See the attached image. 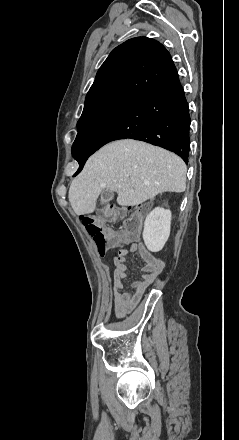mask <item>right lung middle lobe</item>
<instances>
[{"instance_id":"1","label":"right lung middle lobe","mask_w":239,"mask_h":440,"mask_svg":"<svg viewBox=\"0 0 239 440\" xmlns=\"http://www.w3.org/2000/svg\"><path fill=\"white\" fill-rule=\"evenodd\" d=\"M134 97L117 96L83 110L77 123L78 134L72 153L92 150L98 138L117 120Z\"/></svg>"}]
</instances>
